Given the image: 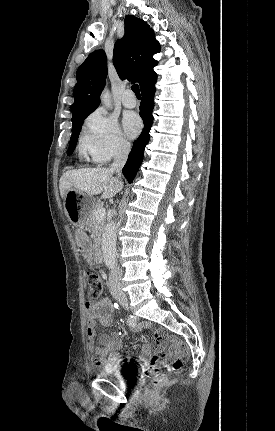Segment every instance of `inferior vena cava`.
Segmentation results:
<instances>
[{
  "label": "inferior vena cava",
  "mask_w": 275,
  "mask_h": 431,
  "mask_svg": "<svg viewBox=\"0 0 275 431\" xmlns=\"http://www.w3.org/2000/svg\"><path fill=\"white\" fill-rule=\"evenodd\" d=\"M130 144L122 143L114 155V162L111 165L110 171L115 172L118 178H121L122 168L125 165L128 154L130 152ZM122 274L119 267H115L111 271L109 277L110 290H121L122 289Z\"/></svg>",
  "instance_id": "inferior-vena-cava-1"
}]
</instances>
